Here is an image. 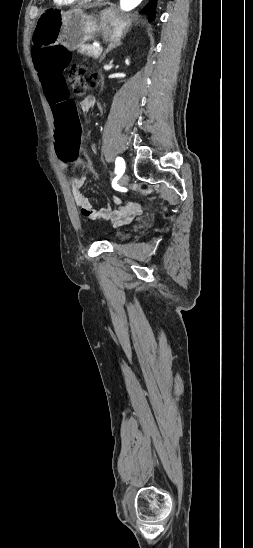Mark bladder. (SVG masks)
<instances>
[{
	"mask_svg": "<svg viewBox=\"0 0 253 548\" xmlns=\"http://www.w3.org/2000/svg\"><path fill=\"white\" fill-rule=\"evenodd\" d=\"M114 241H124L129 238V233L127 232H116L111 237Z\"/></svg>",
	"mask_w": 253,
	"mask_h": 548,
	"instance_id": "1",
	"label": "bladder"
}]
</instances>
